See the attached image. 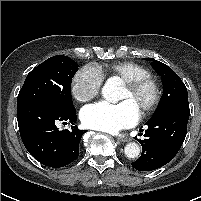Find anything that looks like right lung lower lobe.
<instances>
[{
	"label": "right lung lower lobe",
	"instance_id": "1",
	"mask_svg": "<svg viewBox=\"0 0 201 201\" xmlns=\"http://www.w3.org/2000/svg\"><path fill=\"white\" fill-rule=\"evenodd\" d=\"M21 139L27 151L41 164L59 168L79 156V142L85 130L71 126L59 130L57 122L76 123V111L63 110L47 101H32L17 108Z\"/></svg>",
	"mask_w": 201,
	"mask_h": 201
}]
</instances>
